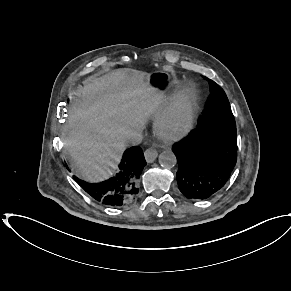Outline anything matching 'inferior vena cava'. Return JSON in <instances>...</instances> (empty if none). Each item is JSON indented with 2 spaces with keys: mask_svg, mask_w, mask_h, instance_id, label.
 <instances>
[{
  "mask_svg": "<svg viewBox=\"0 0 291 291\" xmlns=\"http://www.w3.org/2000/svg\"><path fill=\"white\" fill-rule=\"evenodd\" d=\"M142 128H137L134 130H130L126 135H125V140L127 143L130 145H138L142 142L143 136H142Z\"/></svg>",
  "mask_w": 291,
  "mask_h": 291,
  "instance_id": "obj_1",
  "label": "inferior vena cava"
}]
</instances>
